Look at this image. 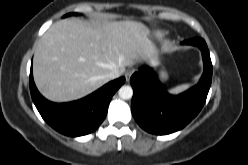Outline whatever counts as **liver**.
Wrapping results in <instances>:
<instances>
[{"label":"liver","mask_w":248,"mask_h":165,"mask_svg":"<svg viewBox=\"0 0 248 165\" xmlns=\"http://www.w3.org/2000/svg\"><path fill=\"white\" fill-rule=\"evenodd\" d=\"M138 62H158V49L146 25L129 20L91 25L71 18L54 23L41 37L33 75L45 98L68 102L105 85L112 70L124 73Z\"/></svg>","instance_id":"1"}]
</instances>
